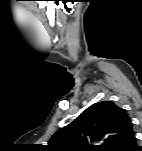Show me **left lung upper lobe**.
<instances>
[{
  "instance_id": "left-lung-upper-lobe-1",
  "label": "left lung upper lobe",
  "mask_w": 142,
  "mask_h": 151,
  "mask_svg": "<svg viewBox=\"0 0 142 151\" xmlns=\"http://www.w3.org/2000/svg\"><path fill=\"white\" fill-rule=\"evenodd\" d=\"M133 133L126 111L112 101H102L57 131L48 146L54 151H120Z\"/></svg>"
}]
</instances>
